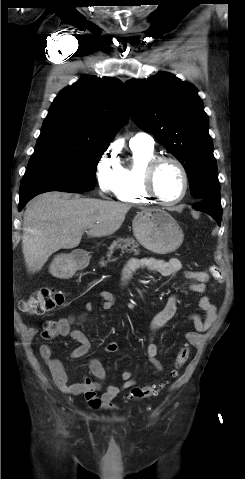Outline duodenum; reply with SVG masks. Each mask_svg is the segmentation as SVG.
I'll list each match as a JSON object with an SVG mask.
<instances>
[{
    "mask_svg": "<svg viewBox=\"0 0 245 479\" xmlns=\"http://www.w3.org/2000/svg\"><path fill=\"white\" fill-rule=\"evenodd\" d=\"M74 261L78 268H83L87 262L86 254H81L80 256H74Z\"/></svg>",
    "mask_w": 245,
    "mask_h": 479,
    "instance_id": "410a0bca",
    "label": "duodenum"
}]
</instances>
